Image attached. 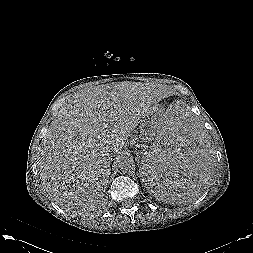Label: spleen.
<instances>
[{
    "instance_id": "spleen-1",
    "label": "spleen",
    "mask_w": 253,
    "mask_h": 253,
    "mask_svg": "<svg viewBox=\"0 0 253 253\" xmlns=\"http://www.w3.org/2000/svg\"><path fill=\"white\" fill-rule=\"evenodd\" d=\"M213 169L214 154L204 123L183 102L173 105L160 118L140 157L142 185L157 198L190 201L210 182Z\"/></svg>"
}]
</instances>
